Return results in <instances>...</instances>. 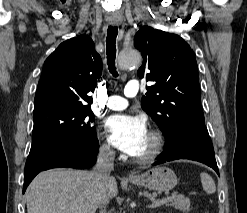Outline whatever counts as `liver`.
I'll use <instances>...</instances> for the list:
<instances>
[{
  "label": "liver",
  "instance_id": "liver-1",
  "mask_svg": "<svg viewBox=\"0 0 247 213\" xmlns=\"http://www.w3.org/2000/svg\"><path fill=\"white\" fill-rule=\"evenodd\" d=\"M117 194L114 177L105 184L94 171L52 169L34 178L25 197L27 213H95Z\"/></svg>",
  "mask_w": 247,
  "mask_h": 213
}]
</instances>
